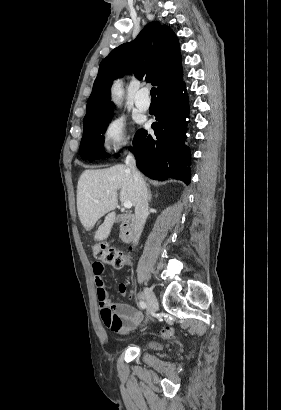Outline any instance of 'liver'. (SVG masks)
<instances>
[{"mask_svg": "<svg viewBox=\"0 0 281 410\" xmlns=\"http://www.w3.org/2000/svg\"><path fill=\"white\" fill-rule=\"evenodd\" d=\"M120 201L136 203V189L131 171L125 165L106 169L85 170L77 184V210L84 228L92 229L102 216L104 222L95 232L94 240L103 241L110 235L116 220L114 210ZM98 201V202H97Z\"/></svg>", "mask_w": 281, "mask_h": 410, "instance_id": "liver-1", "label": "liver"}]
</instances>
